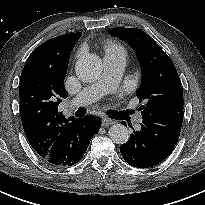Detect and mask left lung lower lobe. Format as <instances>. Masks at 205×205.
Listing matches in <instances>:
<instances>
[{"label": "left lung lower lobe", "instance_id": "1", "mask_svg": "<svg viewBox=\"0 0 205 205\" xmlns=\"http://www.w3.org/2000/svg\"><path fill=\"white\" fill-rule=\"evenodd\" d=\"M183 111L166 112L143 118L141 129L120 146L124 160L137 168H148L162 162L174 149L180 135Z\"/></svg>", "mask_w": 205, "mask_h": 205}]
</instances>
